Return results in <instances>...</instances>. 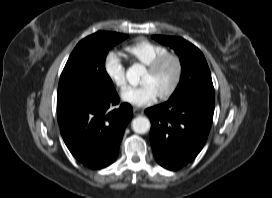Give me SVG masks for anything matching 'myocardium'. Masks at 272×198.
<instances>
[{"label":"myocardium","mask_w":272,"mask_h":198,"mask_svg":"<svg viewBox=\"0 0 272 198\" xmlns=\"http://www.w3.org/2000/svg\"><path fill=\"white\" fill-rule=\"evenodd\" d=\"M167 62H173L175 65V76L171 83V85L161 94H159V98L161 100H165L170 98L178 89L182 75H183V65L179 56L172 53H165L155 58L150 64L147 65V70L154 74L158 72Z\"/></svg>","instance_id":"myocardium-1"}]
</instances>
